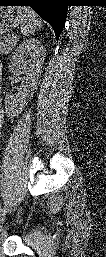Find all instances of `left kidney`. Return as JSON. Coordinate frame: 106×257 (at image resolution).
Instances as JSON below:
<instances>
[{
  "mask_svg": "<svg viewBox=\"0 0 106 257\" xmlns=\"http://www.w3.org/2000/svg\"><path fill=\"white\" fill-rule=\"evenodd\" d=\"M44 54L43 45L36 39L23 41L13 53L9 64L10 72L16 74L22 69L25 76L17 79L18 82H21L18 93L6 97V110L9 112L18 113V109H20L18 103H22L35 87L41 73Z\"/></svg>",
  "mask_w": 106,
  "mask_h": 257,
  "instance_id": "1",
  "label": "left kidney"
}]
</instances>
